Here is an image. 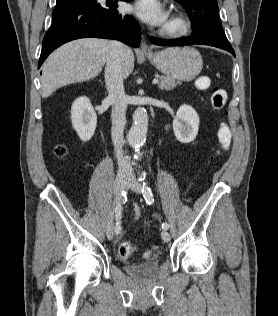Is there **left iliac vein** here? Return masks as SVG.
I'll use <instances>...</instances> for the list:
<instances>
[{"mask_svg": "<svg viewBox=\"0 0 278 316\" xmlns=\"http://www.w3.org/2000/svg\"><path fill=\"white\" fill-rule=\"evenodd\" d=\"M127 186L134 191L135 193H141V185L137 182L135 177L133 175H130L127 180ZM161 238L164 242H169L170 241V234L168 233L167 230H163L161 232Z\"/></svg>", "mask_w": 278, "mask_h": 316, "instance_id": "1", "label": "left iliac vein"}]
</instances>
